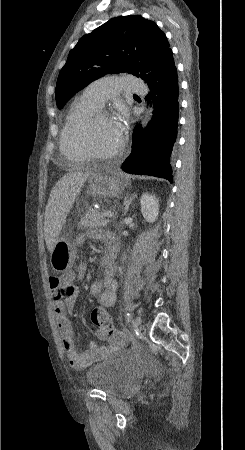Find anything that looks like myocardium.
<instances>
[{
    "label": "myocardium",
    "instance_id": "f54148a6",
    "mask_svg": "<svg viewBox=\"0 0 245 450\" xmlns=\"http://www.w3.org/2000/svg\"><path fill=\"white\" fill-rule=\"evenodd\" d=\"M99 118H105L110 119V116L107 112L103 110H97L93 114H91L86 122L85 129H84V146L88 152L89 159H95V160H102V159H108V158H116L120 157L125 149L124 142L121 140V144L118 147V149L114 150L110 153H103L96 149L94 140H93V129L94 125L97 119Z\"/></svg>",
    "mask_w": 245,
    "mask_h": 450
}]
</instances>
